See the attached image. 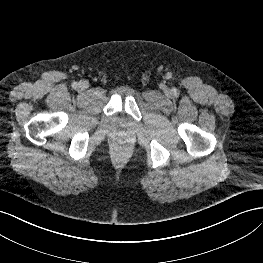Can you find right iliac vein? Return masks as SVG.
Listing matches in <instances>:
<instances>
[{"instance_id": "63e3f726", "label": "right iliac vein", "mask_w": 263, "mask_h": 263, "mask_svg": "<svg viewBox=\"0 0 263 263\" xmlns=\"http://www.w3.org/2000/svg\"><path fill=\"white\" fill-rule=\"evenodd\" d=\"M89 86V83L87 80H81L79 83H78V89L79 90H85L87 89Z\"/></svg>"}]
</instances>
